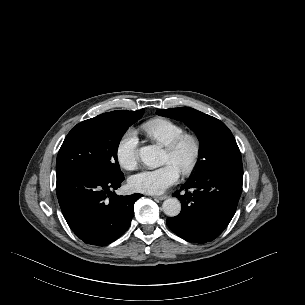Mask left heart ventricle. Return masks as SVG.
<instances>
[{
    "instance_id": "b2bd125f",
    "label": "left heart ventricle",
    "mask_w": 305,
    "mask_h": 305,
    "mask_svg": "<svg viewBox=\"0 0 305 305\" xmlns=\"http://www.w3.org/2000/svg\"><path fill=\"white\" fill-rule=\"evenodd\" d=\"M192 148L189 144L185 145L178 153L171 154L167 150L164 152L163 162L173 163L180 170L186 166L192 158Z\"/></svg>"
}]
</instances>
